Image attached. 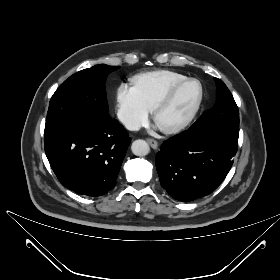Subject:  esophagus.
I'll return each instance as SVG.
<instances>
[{
    "mask_svg": "<svg viewBox=\"0 0 280 280\" xmlns=\"http://www.w3.org/2000/svg\"><path fill=\"white\" fill-rule=\"evenodd\" d=\"M146 141L149 143V145H150L153 149H157L158 143H157L156 140L151 139V138H148Z\"/></svg>",
    "mask_w": 280,
    "mask_h": 280,
    "instance_id": "34e87169",
    "label": "esophagus"
}]
</instances>
